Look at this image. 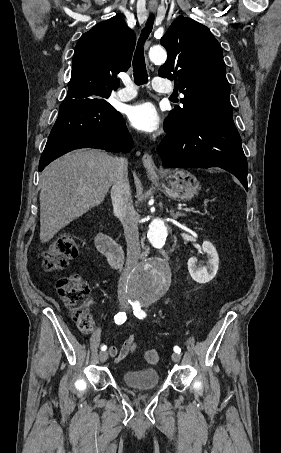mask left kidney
<instances>
[{"label":"left kidney","instance_id":"5707ae66","mask_svg":"<svg viewBox=\"0 0 281 453\" xmlns=\"http://www.w3.org/2000/svg\"><path fill=\"white\" fill-rule=\"evenodd\" d=\"M202 251L207 255V267H197L196 257H191L188 261V271L196 283H209L218 271L219 257L215 247L209 241H204Z\"/></svg>","mask_w":281,"mask_h":453}]
</instances>
